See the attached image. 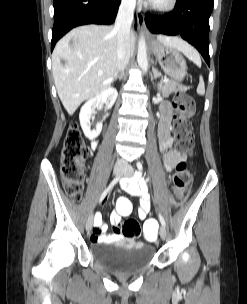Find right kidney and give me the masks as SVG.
<instances>
[{
  "label": "right kidney",
  "instance_id": "ca27d5eb",
  "mask_svg": "<svg viewBox=\"0 0 247 304\" xmlns=\"http://www.w3.org/2000/svg\"><path fill=\"white\" fill-rule=\"evenodd\" d=\"M118 96V92L114 87H109L96 95L94 98L88 100L81 108L79 114V120L82 127V130L85 136L89 140H94L98 137L102 130V122H99L96 125V128L91 130V115L95 113V109L98 108L101 104H105V110L110 109Z\"/></svg>",
  "mask_w": 247,
  "mask_h": 304
}]
</instances>
